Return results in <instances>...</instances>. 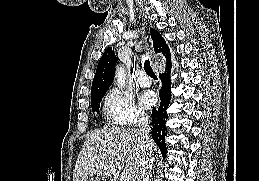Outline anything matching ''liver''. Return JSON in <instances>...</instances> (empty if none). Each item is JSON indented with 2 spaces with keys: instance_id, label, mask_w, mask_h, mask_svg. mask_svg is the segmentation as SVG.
Wrapping results in <instances>:
<instances>
[{
  "instance_id": "obj_1",
  "label": "liver",
  "mask_w": 259,
  "mask_h": 181,
  "mask_svg": "<svg viewBox=\"0 0 259 181\" xmlns=\"http://www.w3.org/2000/svg\"><path fill=\"white\" fill-rule=\"evenodd\" d=\"M149 144L153 158L157 146L151 139ZM143 146L137 129L105 127L95 130L87 136L78 155L73 181H87L93 175L109 178L119 169L129 174V181H136L143 159Z\"/></svg>"
}]
</instances>
